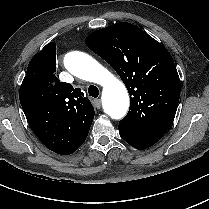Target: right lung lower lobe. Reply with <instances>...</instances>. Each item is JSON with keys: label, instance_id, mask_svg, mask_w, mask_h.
Masks as SVG:
<instances>
[{"label": "right lung lower lobe", "instance_id": "right-lung-lower-lobe-1", "mask_svg": "<svg viewBox=\"0 0 209 209\" xmlns=\"http://www.w3.org/2000/svg\"><path fill=\"white\" fill-rule=\"evenodd\" d=\"M25 114L32 131L49 150L61 155H69L78 149L64 145L55 139V136L52 134L56 129L44 125V121L47 119L46 109H36Z\"/></svg>", "mask_w": 209, "mask_h": 209}]
</instances>
